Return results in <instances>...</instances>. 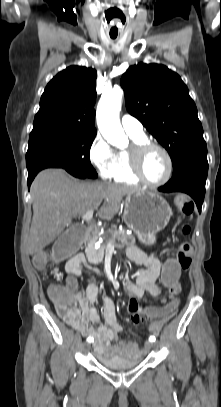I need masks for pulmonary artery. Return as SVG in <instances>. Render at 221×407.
<instances>
[{"label": "pulmonary artery", "instance_id": "e3ab8cb5", "mask_svg": "<svg viewBox=\"0 0 221 407\" xmlns=\"http://www.w3.org/2000/svg\"><path fill=\"white\" fill-rule=\"evenodd\" d=\"M121 125L123 129L130 135H144L141 122L129 114H125L122 116Z\"/></svg>", "mask_w": 221, "mask_h": 407}]
</instances>
